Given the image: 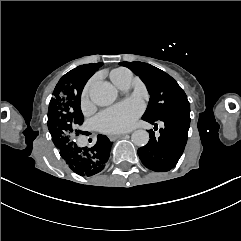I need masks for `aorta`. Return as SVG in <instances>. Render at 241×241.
Instances as JSON below:
<instances>
[{"label":"aorta","mask_w":241,"mask_h":241,"mask_svg":"<svg viewBox=\"0 0 241 241\" xmlns=\"http://www.w3.org/2000/svg\"><path fill=\"white\" fill-rule=\"evenodd\" d=\"M116 88L107 81L94 82L89 90L91 100L99 106H108L117 98ZM132 142L137 146H145L149 142V133L146 130H136L131 136Z\"/></svg>","instance_id":"aorta-1"}]
</instances>
